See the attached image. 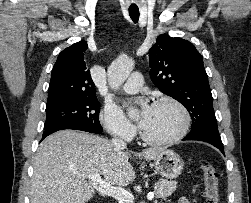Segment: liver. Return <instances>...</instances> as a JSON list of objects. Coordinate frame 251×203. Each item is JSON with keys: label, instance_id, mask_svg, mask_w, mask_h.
I'll use <instances>...</instances> for the list:
<instances>
[{"label": "liver", "instance_id": "liver-1", "mask_svg": "<svg viewBox=\"0 0 251 203\" xmlns=\"http://www.w3.org/2000/svg\"><path fill=\"white\" fill-rule=\"evenodd\" d=\"M164 148L139 156L153 160ZM130 154L99 136L62 130L44 139L35 156L31 203H86L93 192L81 175L100 174L110 185L127 186L135 179Z\"/></svg>", "mask_w": 251, "mask_h": 203}]
</instances>
